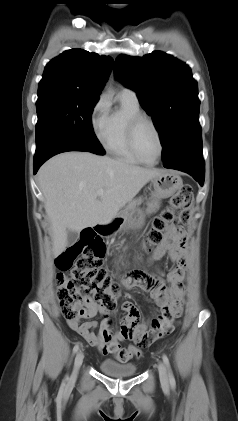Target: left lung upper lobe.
Masks as SVG:
<instances>
[{
    "label": "left lung upper lobe",
    "mask_w": 238,
    "mask_h": 421,
    "mask_svg": "<svg viewBox=\"0 0 238 421\" xmlns=\"http://www.w3.org/2000/svg\"><path fill=\"white\" fill-rule=\"evenodd\" d=\"M115 73L137 93L140 104L152 116L163 146L164 162L185 143L202 135L198 87L188 65L154 51L142 58L118 56Z\"/></svg>",
    "instance_id": "obj_1"
}]
</instances>
